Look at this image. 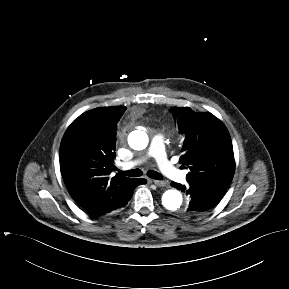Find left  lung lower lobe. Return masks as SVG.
I'll return each mask as SVG.
<instances>
[{
    "mask_svg": "<svg viewBox=\"0 0 289 289\" xmlns=\"http://www.w3.org/2000/svg\"><path fill=\"white\" fill-rule=\"evenodd\" d=\"M171 186L186 192L190 197L189 206L183 211L186 216H200L213 208L221 200L224 192L202 185H184L172 182Z\"/></svg>",
    "mask_w": 289,
    "mask_h": 289,
    "instance_id": "1",
    "label": "left lung lower lobe"
}]
</instances>
